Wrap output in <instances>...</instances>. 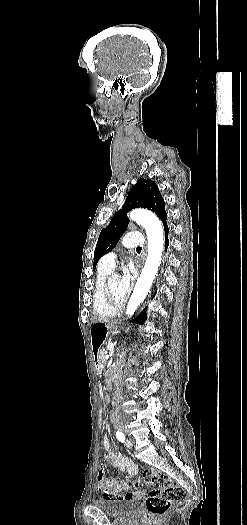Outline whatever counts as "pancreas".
Wrapping results in <instances>:
<instances>
[{
    "instance_id": "cf45deb5",
    "label": "pancreas",
    "mask_w": 247,
    "mask_h": 525,
    "mask_svg": "<svg viewBox=\"0 0 247 525\" xmlns=\"http://www.w3.org/2000/svg\"><path fill=\"white\" fill-rule=\"evenodd\" d=\"M104 354H107V349L99 350V356H98V359H99L100 361H103V360L105 359Z\"/></svg>"
}]
</instances>
